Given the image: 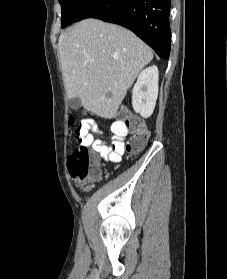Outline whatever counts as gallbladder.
<instances>
[{
	"instance_id": "bac80fb5",
	"label": "gallbladder",
	"mask_w": 227,
	"mask_h": 279,
	"mask_svg": "<svg viewBox=\"0 0 227 279\" xmlns=\"http://www.w3.org/2000/svg\"><path fill=\"white\" fill-rule=\"evenodd\" d=\"M70 107L73 109H78L81 105L79 98H73L69 101Z\"/></svg>"
}]
</instances>
